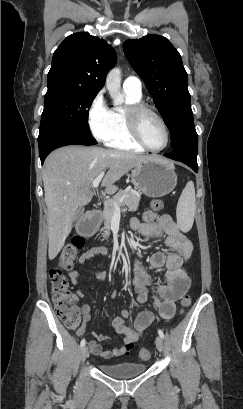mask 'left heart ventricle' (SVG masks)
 Segmentation results:
<instances>
[{
	"label": "left heart ventricle",
	"instance_id": "b2bd125f",
	"mask_svg": "<svg viewBox=\"0 0 243 409\" xmlns=\"http://www.w3.org/2000/svg\"><path fill=\"white\" fill-rule=\"evenodd\" d=\"M139 126L144 141L153 148H160L165 144V133L160 122L151 114L145 113L140 117Z\"/></svg>",
	"mask_w": 243,
	"mask_h": 409
}]
</instances>
